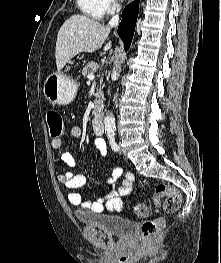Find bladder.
<instances>
[{
  "label": "bladder",
  "mask_w": 221,
  "mask_h": 263,
  "mask_svg": "<svg viewBox=\"0 0 221 263\" xmlns=\"http://www.w3.org/2000/svg\"><path fill=\"white\" fill-rule=\"evenodd\" d=\"M78 220L85 225H94L116 237H127L135 228L136 223L117 214L79 215Z\"/></svg>",
  "instance_id": "1"
}]
</instances>
